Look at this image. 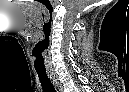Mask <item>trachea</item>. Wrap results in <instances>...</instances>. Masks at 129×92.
I'll return each instance as SVG.
<instances>
[{
	"label": "trachea",
	"mask_w": 129,
	"mask_h": 92,
	"mask_svg": "<svg viewBox=\"0 0 129 92\" xmlns=\"http://www.w3.org/2000/svg\"><path fill=\"white\" fill-rule=\"evenodd\" d=\"M44 92H56L53 84L51 83L46 71H36Z\"/></svg>",
	"instance_id": "1"
}]
</instances>
